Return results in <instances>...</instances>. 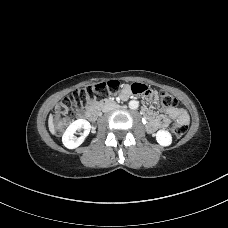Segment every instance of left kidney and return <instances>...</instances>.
Here are the masks:
<instances>
[{"label":"left kidney","mask_w":228,"mask_h":228,"mask_svg":"<svg viewBox=\"0 0 228 228\" xmlns=\"http://www.w3.org/2000/svg\"><path fill=\"white\" fill-rule=\"evenodd\" d=\"M156 140L161 146H169L172 143V136L167 130H159L156 133Z\"/></svg>","instance_id":"obj_1"}]
</instances>
